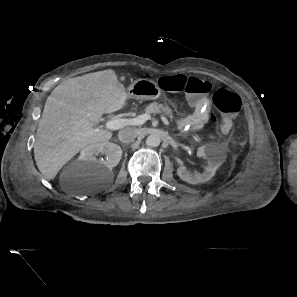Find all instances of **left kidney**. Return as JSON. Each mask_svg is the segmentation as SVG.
Here are the masks:
<instances>
[{"label":"left kidney","mask_w":297,"mask_h":297,"mask_svg":"<svg viewBox=\"0 0 297 297\" xmlns=\"http://www.w3.org/2000/svg\"><path fill=\"white\" fill-rule=\"evenodd\" d=\"M197 156L202 157L207 161V166L204 167L203 173H191L185 166H179L177 168V175L179 178L192 185L209 181L223 163L222 157L217 153L215 148L209 144L199 147L197 149Z\"/></svg>","instance_id":"5707ae66"}]
</instances>
